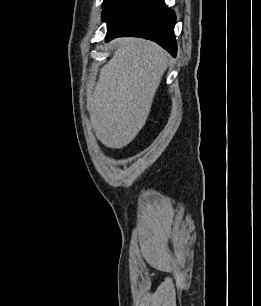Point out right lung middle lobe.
<instances>
[{"label":"right lung middle lobe","mask_w":261,"mask_h":306,"mask_svg":"<svg viewBox=\"0 0 261 306\" xmlns=\"http://www.w3.org/2000/svg\"><path fill=\"white\" fill-rule=\"evenodd\" d=\"M112 0H104L103 2V9L111 2Z\"/></svg>","instance_id":"1"}]
</instances>
